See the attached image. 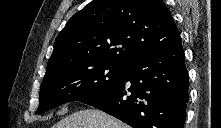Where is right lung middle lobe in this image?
Here are the masks:
<instances>
[{
  "mask_svg": "<svg viewBox=\"0 0 221 128\" xmlns=\"http://www.w3.org/2000/svg\"><path fill=\"white\" fill-rule=\"evenodd\" d=\"M127 66L106 63H71L57 67L44 76L40 88V114L71 101H84L117 84Z\"/></svg>",
  "mask_w": 221,
  "mask_h": 128,
  "instance_id": "dd1d6c3e",
  "label": "right lung middle lobe"
}]
</instances>
